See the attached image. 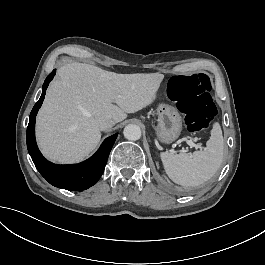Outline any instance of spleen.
<instances>
[{
	"instance_id": "spleen-1",
	"label": "spleen",
	"mask_w": 265,
	"mask_h": 265,
	"mask_svg": "<svg viewBox=\"0 0 265 265\" xmlns=\"http://www.w3.org/2000/svg\"><path fill=\"white\" fill-rule=\"evenodd\" d=\"M206 149L192 155L170 151L160 152V159L168 177L177 184L196 186L209 180L218 170L223 159L224 141L221 125L212 123Z\"/></svg>"
}]
</instances>
